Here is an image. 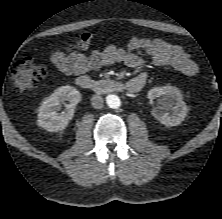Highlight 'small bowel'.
Instances as JSON below:
<instances>
[{
    "label": "small bowel",
    "mask_w": 222,
    "mask_h": 219,
    "mask_svg": "<svg viewBox=\"0 0 222 219\" xmlns=\"http://www.w3.org/2000/svg\"><path fill=\"white\" fill-rule=\"evenodd\" d=\"M93 41L92 33H83L76 43L64 49H55L50 55L51 64L64 75L81 76L115 63H124L131 68H142L147 64L148 57L157 67L168 66L187 76L198 73V66L190 56L179 45L164 39L133 37L126 48L108 45L86 56L84 51L90 48ZM131 81L144 85L146 77L141 73Z\"/></svg>",
    "instance_id": "1"
}]
</instances>
